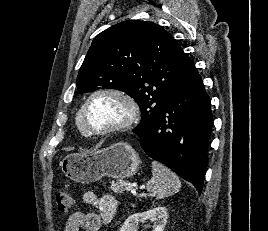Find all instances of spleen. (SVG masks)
I'll use <instances>...</instances> for the list:
<instances>
[{
    "mask_svg": "<svg viewBox=\"0 0 268 231\" xmlns=\"http://www.w3.org/2000/svg\"><path fill=\"white\" fill-rule=\"evenodd\" d=\"M181 182L178 176L163 164L152 162V178L147 182L146 189L156 195L157 199H163L177 193Z\"/></svg>",
    "mask_w": 268,
    "mask_h": 231,
    "instance_id": "3e777b00",
    "label": "spleen"
}]
</instances>
